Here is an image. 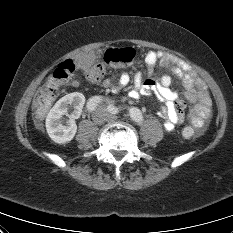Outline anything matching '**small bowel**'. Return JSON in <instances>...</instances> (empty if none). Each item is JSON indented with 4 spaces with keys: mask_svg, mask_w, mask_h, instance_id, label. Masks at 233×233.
I'll return each mask as SVG.
<instances>
[{
    "mask_svg": "<svg viewBox=\"0 0 233 233\" xmlns=\"http://www.w3.org/2000/svg\"><path fill=\"white\" fill-rule=\"evenodd\" d=\"M90 63V58L79 57L78 65L81 69H86ZM145 63L151 71L153 67L159 63L164 68H169L185 85L186 98L194 103V106L188 112V118L194 126L203 127L205 121L211 113V97L205 82L196 74L189 66L175 61L162 51H148L145 55ZM131 76L127 72L120 73L117 77L112 76L103 81L104 87L112 93H117L121 88L128 85ZM134 89L131 97L135 98L140 94L154 93L162 102V110L160 116L165 118L164 127L167 131L180 124L185 117L186 104L178 98L176 91L170 88L171 77L163 75L159 80L152 77L143 79L140 72L134 76ZM73 84L77 85L78 80H73Z\"/></svg>",
    "mask_w": 233,
    "mask_h": 233,
    "instance_id": "small-bowel-1",
    "label": "small bowel"
}]
</instances>
